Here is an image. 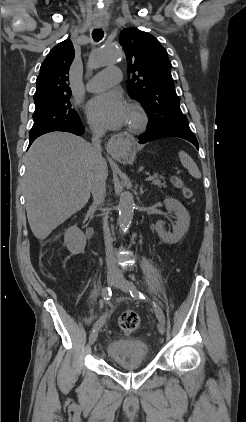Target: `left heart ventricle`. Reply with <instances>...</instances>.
Wrapping results in <instances>:
<instances>
[{
  "mask_svg": "<svg viewBox=\"0 0 246 422\" xmlns=\"http://www.w3.org/2000/svg\"><path fill=\"white\" fill-rule=\"evenodd\" d=\"M131 120V114L129 115V120H128V122Z\"/></svg>",
  "mask_w": 246,
  "mask_h": 422,
  "instance_id": "obj_1",
  "label": "left heart ventricle"
}]
</instances>
